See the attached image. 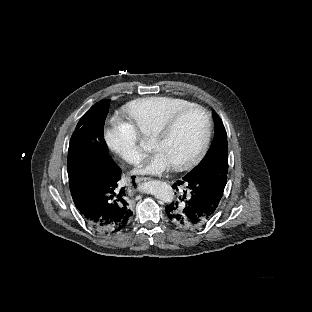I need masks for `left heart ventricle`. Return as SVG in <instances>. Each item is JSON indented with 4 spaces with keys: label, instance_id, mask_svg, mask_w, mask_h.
<instances>
[{
    "label": "left heart ventricle",
    "instance_id": "left-heart-ventricle-1",
    "mask_svg": "<svg viewBox=\"0 0 312 312\" xmlns=\"http://www.w3.org/2000/svg\"><path fill=\"white\" fill-rule=\"evenodd\" d=\"M209 134V120L201 111L180 115L161 140L162 151L177 163L191 160Z\"/></svg>",
    "mask_w": 312,
    "mask_h": 312
}]
</instances>
